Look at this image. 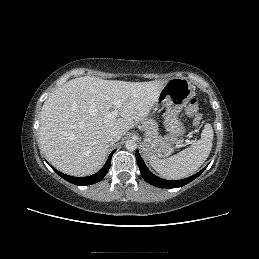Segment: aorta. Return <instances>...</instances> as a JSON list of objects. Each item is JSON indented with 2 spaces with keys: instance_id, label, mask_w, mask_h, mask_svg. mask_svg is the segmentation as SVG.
Masks as SVG:
<instances>
[{
  "instance_id": "1",
  "label": "aorta",
  "mask_w": 259,
  "mask_h": 259,
  "mask_svg": "<svg viewBox=\"0 0 259 259\" xmlns=\"http://www.w3.org/2000/svg\"><path fill=\"white\" fill-rule=\"evenodd\" d=\"M125 148L128 151H134L137 148V144L134 140H127L125 143Z\"/></svg>"
}]
</instances>
